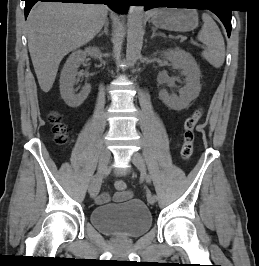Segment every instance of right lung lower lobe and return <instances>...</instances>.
I'll return each instance as SVG.
<instances>
[{"mask_svg":"<svg viewBox=\"0 0 259 266\" xmlns=\"http://www.w3.org/2000/svg\"><path fill=\"white\" fill-rule=\"evenodd\" d=\"M25 4V17L29 14L32 6L37 1L42 2H62V3H84V4H104L109 5L111 9L120 14H125L130 0H24Z\"/></svg>","mask_w":259,"mask_h":266,"instance_id":"98d812e1","label":"right lung lower lobe"}]
</instances>
